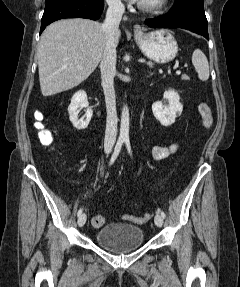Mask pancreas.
I'll list each match as a JSON object with an SVG mask.
<instances>
[{
  "label": "pancreas",
  "mask_w": 240,
  "mask_h": 287,
  "mask_svg": "<svg viewBox=\"0 0 240 287\" xmlns=\"http://www.w3.org/2000/svg\"><path fill=\"white\" fill-rule=\"evenodd\" d=\"M147 65H149L150 67H152L153 66V63L152 62H147ZM189 77L187 76V75H183L182 76V79H188Z\"/></svg>",
  "instance_id": "obj_1"
}]
</instances>
